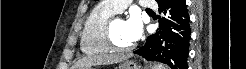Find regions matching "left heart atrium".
I'll use <instances>...</instances> for the list:
<instances>
[{"label":"left heart atrium","instance_id":"left-heart-atrium-1","mask_svg":"<svg viewBox=\"0 0 246 69\" xmlns=\"http://www.w3.org/2000/svg\"><path fill=\"white\" fill-rule=\"evenodd\" d=\"M129 38L132 42H136L141 36V24L137 14L132 13L125 21Z\"/></svg>","mask_w":246,"mask_h":69}]
</instances>
